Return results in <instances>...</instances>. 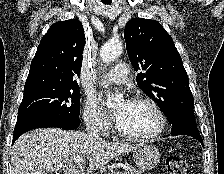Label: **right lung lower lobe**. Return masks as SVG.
Segmentation results:
<instances>
[{
	"label": "right lung lower lobe",
	"mask_w": 224,
	"mask_h": 174,
	"mask_svg": "<svg viewBox=\"0 0 224 174\" xmlns=\"http://www.w3.org/2000/svg\"><path fill=\"white\" fill-rule=\"evenodd\" d=\"M80 122V119L57 120L39 116H21L17 118L12 144L20 135L32 129L43 127H55L66 130H73L80 125Z\"/></svg>",
	"instance_id": "obj_1"
}]
</instances>
